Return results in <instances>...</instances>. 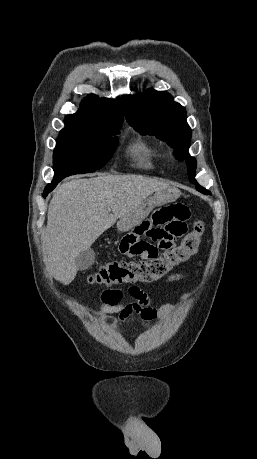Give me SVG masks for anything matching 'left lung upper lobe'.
<instances>
[{"label": "left lung upper lobe", "instance_id": "obj_1", "mask_svg": "<svg viewBox=\"0 0 257 459\" xmlns=\"http://www.w3.org/2000/svg\"><path fill=\"white\" fill-rule=\"evenodd\" d=\"M122 105L127 122L141 134L156 135L174 148L179 161L186 160L189 180L196 184V160L188 153L191 129L186 122V110L175 103L165 91L146 90L143 94L122 96ZM203 193L209 192L196 185Z\"/></svg>", "mask_w": 257, "mask_h": 459}]
</instances>
